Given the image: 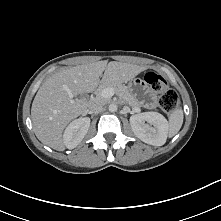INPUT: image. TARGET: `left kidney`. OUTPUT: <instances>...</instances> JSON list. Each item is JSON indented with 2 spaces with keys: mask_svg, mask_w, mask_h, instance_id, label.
Returning <instances> with one entry per match:
<instances>
[{
  "mask_svg": "<svg viewBox=\"0 0 221 221\" xmlns=\"http://www.w3.org/2000/svg\"><path fill=\"white\" fill-rule=\"evenodd\" d=\"M147 122L148 124H146ZM132 131L143 142L162 146L165 144L168 133V122L157 112H144L130 117Z\"/></svg>",
  "mask_w": 221,
  "mask_h": 221,
  "instance_id": "5707ae66",
  "label": "left kidney"
}]
</instances>
